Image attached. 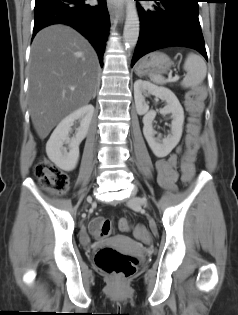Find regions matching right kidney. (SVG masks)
Instances as JSON below:
<instances>
[{"instance_id": "ca27d5eb", "label": "right kidney", "mask_w": 238, "mask_h": 315, "mask_svg": "<svg viewBox=\"0 0 238 315\" xmlns=\"http://www.w3.org/2000/svg\"><path fill=\"white\" fill-rule=\"evenodd\" d=\"M94 113L93 105H84L66 116L53 131L46 144V153L49 159L60 169L72 171L76 168L79 159V145L87 136ZM78 120L80 126L75 137L69 133L74 122ZM64 144L68 145L69 152Z\"/></svg>"}]
</instances>
